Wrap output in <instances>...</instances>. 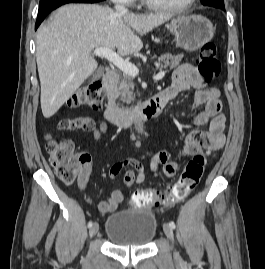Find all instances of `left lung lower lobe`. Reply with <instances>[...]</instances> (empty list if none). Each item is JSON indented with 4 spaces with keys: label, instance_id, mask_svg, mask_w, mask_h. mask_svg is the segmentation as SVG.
<instances>
[{
    "label": "left lung lower lobe",
    "instance_id": "left-lung-lower-lobe-1",
    "mask_svg": "<svg viewBox=\"0 0 265 269\" xmlns=\"http://www.w3.org/2000/svg\"><path fill=\"white\" fill-rule=\"evenodd\" d=\"M207 6H212V7H215V8H220V9H222V10H224V11H225L224 6H221V5H217V4H211V5H207Z\"/></svg>",
    "mask_w": 265,
    "mask_h": 269
}]
</instances>
